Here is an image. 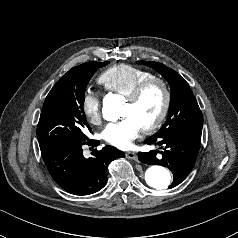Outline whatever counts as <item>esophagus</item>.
<instances>
[{"label":"esophagus","mask_w":238,"mask_h":238,"mask_svg":"<svg viewBox=\"0 0 238 238\" xmlns=\"http://www.w3.org/2000/svg\"><path fill=\"white\" fill-rule=\"evenodd\" d=\"M126 157L135 161H138V156L134 152H126Z\"/></svg>","instance_id":"esophagus-1"}]
</instances>
